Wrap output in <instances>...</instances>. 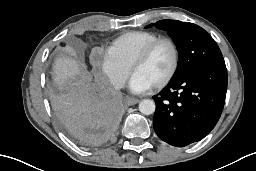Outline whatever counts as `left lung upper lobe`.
Wrapping results in <instances>:
<instances>
[{
  "label": "left lung upper lobe",
  "mask_w": 256,
  "mask_h": 171,
  "mask_svg": "<svg viewBox=\"0 0 256 171\" xmlns=\"http://www.w3.org/2000/svg\"><path fill=\"white\" fill-rule=\"evenodd\" d=\"M155 26L166 30L179 52L177 70L172 79L203 66L225 65L222 53L213 38L200 26L177 20H160Z\"/></svg>",
  "instance_id": "left-lung-upper-lobe-1"
}]
</instances>
